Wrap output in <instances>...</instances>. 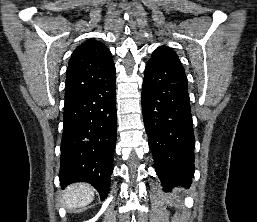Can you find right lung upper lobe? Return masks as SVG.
<instances>
[{
  "label": "right lung upper lobe",
  "instance_id": "cb5924a9",
  "mask_svg": "<svg viewBox=\"0 0 257 222\" xmlns=\"http://www.w3.org/2000/svg\"><path fill=\"white\" fill-rule=\"evenodd\" d=\"M114 71L110 50L102 42L88 39L71 55L67 68L65 100L95 87Z\"/></svg>",
  "mask_w": 257,
  "mask_h": 222
}]
</instances>
